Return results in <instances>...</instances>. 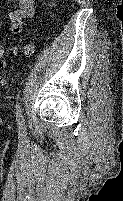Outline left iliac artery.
Returning a JSON list of instances; mask_svg holds the SVG:
<instances>
[{
    "mask_svg": "<svg viewBox=\"0 0 123 201\" xmlns=\"http://www.w3.org/2000/svg\"><path fill=\"white\" fill-rule=\"evenodd\" d=\"M16 121H17L19 131L21 133H24L25 132V124H24V118L22 115V107H21L20 103H18L16 105Z\"/></svg>",
    "mask_w": 123,
    "mask_h": 201,
    "instance_id": "left-iliac-artery-1",
    "label": "left iliac artery"
}]
</instances>
